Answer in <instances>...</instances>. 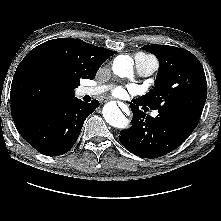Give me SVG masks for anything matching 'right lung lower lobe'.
I'll use <instances>...</instances> for the list:
<instances>
[{"instance_id": "right-lung-lower-lobe-1", "label": "right lung lower lobe", "mask_w": 221, "mask_h": 221, "mask_svg": "<svg viewBox=\"0 0 221 221\" xmlns=\"http://www.w3.org/2000/svg\"><path fill=\"white\" fill-rule=\"evenodd\" d=\"M99 106L77 98L64 104L28 111L14 120L22 137L47 156L69 151L78 139L85 119Z\"/></svg>"}]
</instances>
